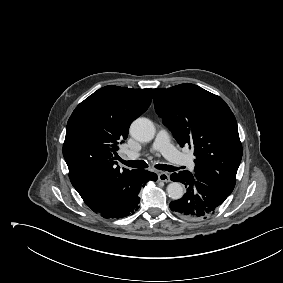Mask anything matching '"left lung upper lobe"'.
Returning <instances> with one entry per match:
<instances>
[{"label":"left lung upper lobe","instance_id":"1","mask_svg":"<svg viewBox=\"0 0 283 283\" xmlns=\"http://www.w3.org/2000/svg\"><path fill=\"white\" fill-rule=\"evenodd\" d=\"M156 113L180 146L189 145L196 156L197 181L230 195L242 159L237 122L219 96L186 83L154 89Z\"/></svg>","mask_w":283,"mask_h":283}]
</instances>
